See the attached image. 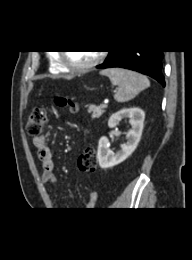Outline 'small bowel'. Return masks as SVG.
I'll return each instance as SVG.
<instances>
[{
	"label": "small bowel",
	"instance_id": "obj_1",
	"mask_svg": "<svg viewBox=\"0 0 192 260\" xmlns=\"http://www.w3.org/2000/svg\"><path fill=\"white\" fill-rule=\"evenodd\" d=\"M33 144L37 148V156L41 162L42 172L41 180L45 184L56 185L58 183V178L54 173V158L52 149L47 142L46 138L40 136L33 139ZM98 200V193L96 191H91L87 202L85 203L83 209L91 210L95 207Z\"/></svg>",
	"mask_w": 192,
	"mask_h": 260
}]
</instances>
